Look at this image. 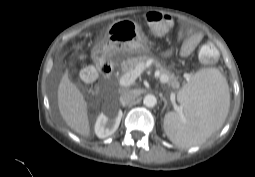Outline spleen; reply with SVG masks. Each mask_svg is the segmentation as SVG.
I'll list each match as a JSON object with an SVG mask.
<instances>
[{"mask_svg": "<svg viewBox=\"0 0 255 177\" xmlns=\"http://www.w3.org/2000/svg\"><path fill=\"white\" fill-rule=\"evenodd\" d=\"M177 99L182 113H167L164 129L180 147L204 142L223 125L229 112L228 83L215 68L198 71L179 91Z\"/></svg>", "mask_w": 255, "mask_h": 177, "instance_id": "1", "label": "spleen"}]
</instances>
